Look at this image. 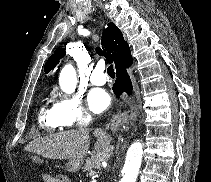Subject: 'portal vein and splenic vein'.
<instances>
[{
	"label": "portal vein and splenic vein",
	"instance_id": "obj_1",
	"mask_svg": "<svg viewBox=\"0 0 211 182\" xmlns=\"http://www.w3.org/2000/svg\"><path fill=\"white\" fill-rule=\"evenodd\" d=\"M91 174H92V175H94V174H95V172H92Z\"/></svg>",
	"mask_w": 211,
	"mask_h": 182
}]
</instances>
